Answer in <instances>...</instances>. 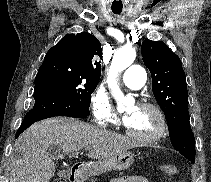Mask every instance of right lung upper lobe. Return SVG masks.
<instances>
[{"mask_svg":"<svg viewBox=\"0 0 211 182\" xmlns=\"http://www.w3.org/2000/svg\"><path fill=\"white\" fill-rule=\"evenodd\" d=\"M102 58L101 44L89 33L68 34L47 52L42 67L58 64L77 71L87 78L99 80L101 64L95 60Z\"/></svg>","mask_w":211,"mask_h":182,"instance_id":"1","label":"right lung upper lobe"}]
</instances>
